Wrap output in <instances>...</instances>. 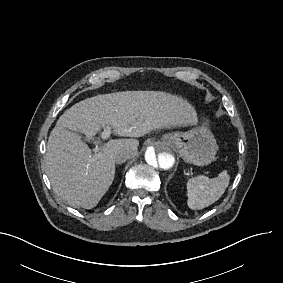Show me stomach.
I'll use <instances>...</instances> for the list:
<instances>
[{
  "label": "stomach",
  "mask_w": 283,
  "mask_h": 283,
  "mask_svg": "<svg viewBox=\"0 0 283 283\" xmlns=\"http://www.w3.org/2000/svg\"><path fill=\"white\" fill-rule=\"evenodd\" d=\"M166 146L175 149L187 163L198 166L209 165L215 160L218 145L206 125L186 132H172L162 137Z\"/></svg>",
  "instance_id": "1"
}]
</instances>
